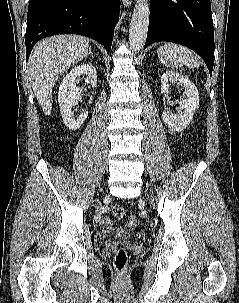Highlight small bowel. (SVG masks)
<instances>
[{
    "label": "small bowel",
    "mask_w": 239,
    "mask_h": 303,
    "mask_svg": "<svg viewBox=\"0 0 239 303\" xmlns=\"http://www.w3.org/2000/svg\"><path fill=\"white\" fill-rule=\"evenodd\" d=\"M101 222L103 226L107 229L112 230L115 228L113 221L108 216L102 217ZM137 225H138V218L136 216H131L129 219L128 228L134 229Z\"/></svg>",
    "instance_id": "obj_1"
}]
</instances>
